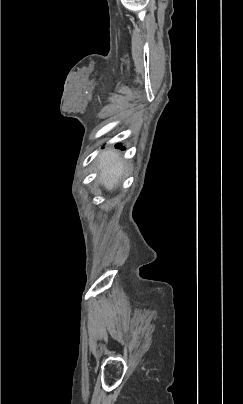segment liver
Wrapping results in <instances>:
<instances>
[{
    "mask_svg": "<svg viewBox=\"0 0 243 404\" xmlns=\"http://www.w3.org/2000/svg\"><path fill=\"white\" fill-rule=\"evenodd\" d=\"M97 162H99L97 170H101L100 184H103L106 190H113L124 172V162H121L118 154L112 150L102 152Z\"/></svg>",
    "mask_w": 243,
    "mask_h": 404,
    "instance_id": "liver-1",
    "label": "liver"
}]
</instances>
